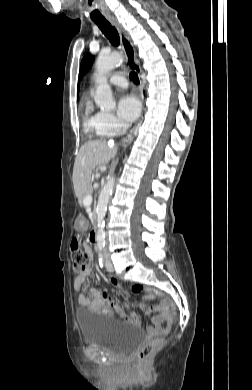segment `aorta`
Listing matches in <instances>:
<instances>
[{
  "instance_id": "aorta-1",
  "label": "aorta",
  "mask_w": 252,
  "mask_h": 390,
  "mask_svg": "<svg viewBox=\"0 0 252 390\" xmlns=\"http://www.w3.org/2000/svg\"><path fill=\"white\" fill-rule=\"evenodd\" d=\"M123 61V58L119 54H110L104 55L100 54L97 58L95 68V82H96V92L94 100L96 104L102 111H112L116 107V103L112 96L111 87L108 84L107 74L113 70L118 64ZM115 184V177H109L104 187L102 188L98 204L96 208L97 214V234L96 241L98 244L105 243V222L104 217L107 211V205L110 199V196L113 192Z\"/></svg>"
}]
</instances>
